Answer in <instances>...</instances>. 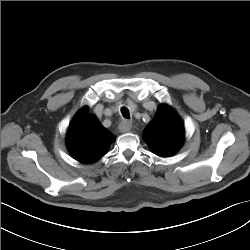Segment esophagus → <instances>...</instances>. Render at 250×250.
Returning <instances> with one entry per match:
<instances>
[{
    "label": "esophagus",
    "mask_w": 250,
    "mask_h": 250,
    "mask_svg": "<svg viewBox=\"0 0 250 250\" xmlns=\"http://www.w3.org/2000/svg\"><path fill=\"white\" fill-rule=\"evenodd\" d=\"M120 132L128 133L132 129V122L128 120H122L118 126Z\"/></svg>",
    "instance_id": "esophagus-1"
}]
</instances>
